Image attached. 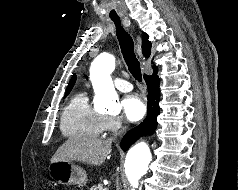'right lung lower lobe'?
<instances>
[{"label": "right lung lower lobe", "mask_w": 238, "mask_h": 190, "mask_svg": "<svg viewBox=\"0 0 238 190\" xmlns=\"http://www.w3.org/2000/svg\"><path fill=\"white\" fill-rule=\"evenodd\" d=\"M144 79L148 86V114L144 121L135 128L128 131L123 137L120 146L126 151L139 137L149 133H153L157 126V116L159 114V83L160 79L157 76V70L151 76L145 75Z\"/></svg>", "instance_id": "obj_1"}]
</instances>
